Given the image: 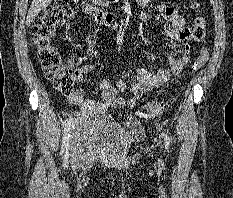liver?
<instances>
[{"label": "liver", "instance_id": "obj_1", "mask_svg": "<svg viewBox=\"0 0 233 198\" xmlns=\"http://www.w3.org/2000/svg\"><path fill=\"white\" fill-rule=\"evenodd\" d=\"M52 0H32L30 9L28 11L27 17H26V24L29 26L33 19L43 10L46 8Z\"/></svg>", "mask_w": 233, "mask_h": 198}]
</instances>
